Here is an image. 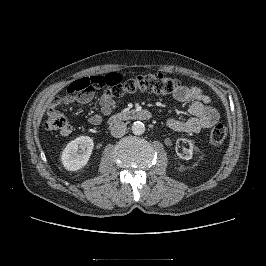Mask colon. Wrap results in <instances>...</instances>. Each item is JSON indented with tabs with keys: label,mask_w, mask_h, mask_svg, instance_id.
Instances as JSON below:
<instances>
[{
	"label": "colon",
	"mask_w": 266,
	"mask_h": 266,
	"mask_svg": "<svg viewBox=\"0 0 266 266\" xmlns=\"http://www.w3.org/2000/svg\"><path fill=\"white\" fill-rule=\"evenodd\" d=\"M107 86L110 94L115 97H123L142 91L154 92L162 95L174 93L179 88L177 79L162 73H147L123 80L119 73L106 75H92L74 80L67 87L70 94H85L94 91L98 87ZM45 128L51 132L62 134L70 131L66 116L57 108L51 107L46 111ZM227 137V128L218 123L210 131L209 140L213 146H220Z\"/></svg>",
	"instance_id": "obj_1"
}]
</instances>
